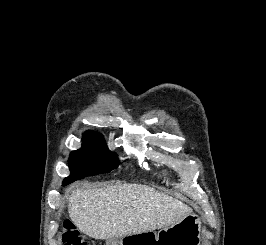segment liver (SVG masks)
Wrapping results in <instances>:
<instances>
[{
  "mask_svg": "<svg viewBox=\"0 0 266 245\" xmlns=\"http://www.w3.org/2000/svg\"><path fill=\"white\" fill-rule=\"evenodd\" d=\"M190 213L182 201L136 183L77 187L70 195L69 217L92 239H121L163 229Z\"/></svg>",
  "mask_w": 266,
  "mask_h": 245,
  "instance_id": "obj_1",
  "label": "liver"
}]
</instances>
